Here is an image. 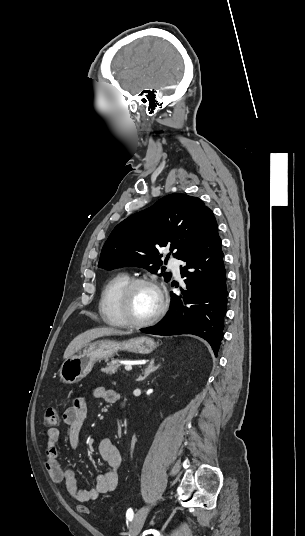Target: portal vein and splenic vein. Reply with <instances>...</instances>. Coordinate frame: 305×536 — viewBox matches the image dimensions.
Here are the masks:
<instances>
[{
    "instance_id": "18ae733b",
    "label": "portal vein and splenic vein",
    "mask_w": 305,
    "mask_h": 536,
    "mask_svg": "<svg viewBox=\"0 0 305 536\" xmlns=\"http://www.w3.org/2000/svg\"><path fill=\"white\" fill-rule=\"evenodd\" d=\"M125 370L129 372V370H132V364H125Z\"/></svg>"
}]
</instances>
